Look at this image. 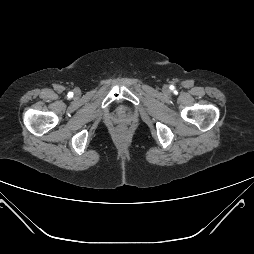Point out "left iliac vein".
<instances>
[{
  "label": "left iliac vein",
  "instance_id": "obj_1",
  "mask_svg": "<svg viewBox=\"0 0 254 254\" xmlns=\"http://www.w3.org/2000/svg\"><path fill=\"white\" fill-rule=\"evenodd\" d=\"M164 91L165 92L168 91V87L167 86L164 87Z\"/></svg>",
  "mask_w": 254,
  "mask_h": 254
}]
</instances>
